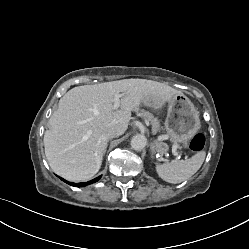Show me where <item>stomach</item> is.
I'll list each match as a JSON object with an SVG mask.
<instances>
[{
  "label": "stomach",
  "instance_id": "0dacf381",
  "mask_svg": "<svg viewBox=\"0 0 249 249\" xmlns=\"http://www.w3.org/2000/svg\"><path fill=\"white\" fill-rule=\"evenodd\" d=\"M145 102L151 99L145 98ZM200 128L199 112L193 103L183 94L174 95L168 102V114L165 129L171 142L186 143ZM168 145L163 141H155L153 151L161 155L168 152Z\"/></svg>",
  "mask_w": 249,
  "mask_h": 249
}]
</instances>
